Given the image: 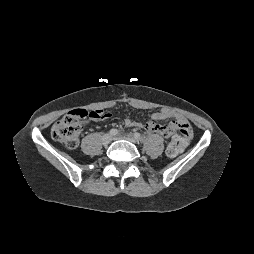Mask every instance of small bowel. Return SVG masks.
Returning <instances> with one entry per match:
<instances>
[{
	"mask_svg": "<svg viewBox=\"0 0 254 254\" xmlns=\"http://www.w3.org/2000/svg\"><path fill=\"white\" fill-rule=\"evenodd\" d=\"M109 113H104L101 111V114L95 120H101L109 118ZM169 119H173L168 125L161 124L159 122L168 121ZM125 126L127 127H143L147 131L158 133L166 138L173 136L176 124L186 123L184 117L180 114L173 113L168 108H163L160 111H157L152 114L151 120L142 124L140 122L134 121L131 118L125 119Z\"/></svg>",
	"mask_w": 254,
	"mask_h": 254,
	"instance_id": "obj_1",
	"label": "small bowel"
}]
</instances>
